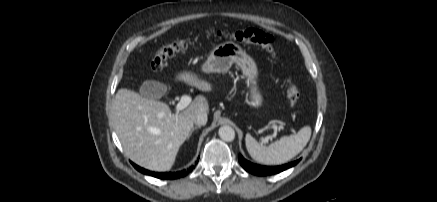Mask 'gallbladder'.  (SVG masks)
I'll return each instance as SVG.
<instances>
[{"instance_id":"obj_1","label":"gallbladder","mask_w":437,"mask_h":202,"mask_svg":"<svg viewBox=\"0 0 437 202\" xmlns=\"http://www.w3.org/2000/svg\"><path fill=\"white\" fill-rule=\"evenodd\" d=\"M166 92V86L155 80H146L139 89V94L148 99H159Z\"/></svg>"}]
</instances>
